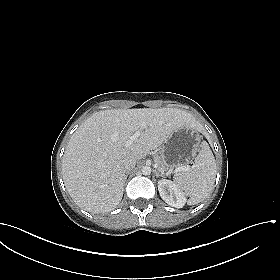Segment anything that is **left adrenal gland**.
<instances>
[{
    "mask_svg": "<svg viewBox=\"0 0 280 280\" xmlns=\"http://www.w3.org/2000/svg\"><path fill=\"white\" fill-rule=\"evenodd\" d=\"M154 173H155L156 177H163V178H165V176L161 175L156 169L154 170Z\"/></svg>",
    "mask_w": 280,
    "mask_h": 280,
    "instance_id": "obj_1",
    "label": "left adrenal gland"
}]
</instances>
